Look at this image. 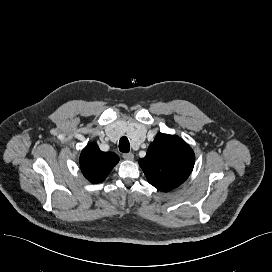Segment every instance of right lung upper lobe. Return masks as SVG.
<instances>
[{
  "label": "right lung upper lobe",
  "mask_w": 272,
  "mask_h": 272,
  "mask_svg": "<svg viewBox=\"0 0 272 272\" xmlns=\"http://www.w3.org/2000/svg\"><path fill=\"white\" fill-rule=\"evenodd\" d=\"M119 157L113 152H103L97 144L85 147L80 156L83 175L92 183L102 182L118 163Z\"/></svg>",
  "instance_id": "cb5924a9"
}]
</instances>
